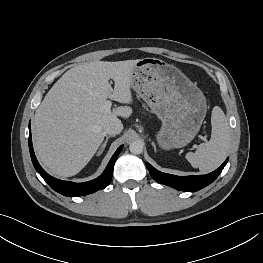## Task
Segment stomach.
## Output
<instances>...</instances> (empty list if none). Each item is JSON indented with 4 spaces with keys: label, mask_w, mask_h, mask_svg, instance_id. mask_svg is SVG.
<instances>
[{
    "label": "stomach",
    "mask_w": 263,
    "mask_h": 263,
    "mask_svg": "<svg viewBox=\"0 0 263 263\" xmlns=\"http://www.w3.org/2000/svg\"><path fill=\"white\" fill-rule=\"evenodd\" d=\"M131 87L161 120L156 137L162 149L181 148L194 139L206 115V98L181 70L158 58L139 59Z\"/></svg>",
    "instance_id": "1"
}]
</instances>
